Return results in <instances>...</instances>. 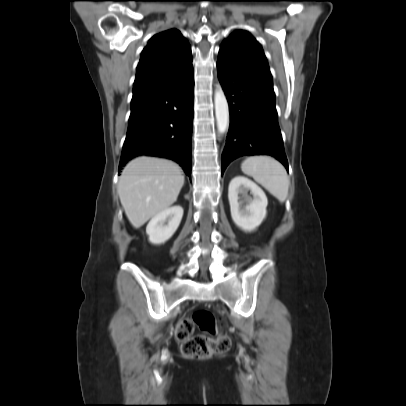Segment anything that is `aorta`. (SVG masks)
<instances>
[{
  "instance_id": "1",
  "label": "aorta",
  "mask_w": 406,
  "mask_h": 406,
  "mask_svg": "<svg viewBox=\"0 0 406 406\" xmlns=\"http://www.w3.org/2000/svg\"><path fill=\"white\" fill-rule=\"evenodd\" d=\"M214 105L217 130L220 134H224L229 128V107L220 85H217L214 92Z\"/></svg>"
}]
</instances>
